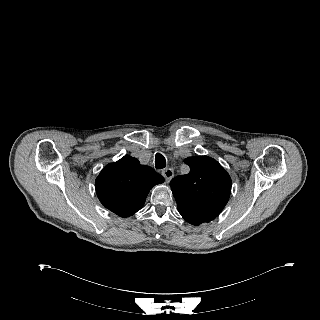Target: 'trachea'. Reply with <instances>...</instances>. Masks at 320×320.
<instances>
[{"label":"trachea","mask_w":320,"mask_h":320,"mask_svg":"<svg viewBox=\"0 0 320 320\" xmlns=\"http://www.w3.org/2000/svg\"><path fill=\"white\" fill-rule=\"evenodd\" d=\"M155 167L156 169H163L166 167V159L161 153H156Z\"/></svg>","instance_id":"1"}]
</instances>
